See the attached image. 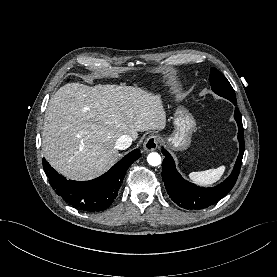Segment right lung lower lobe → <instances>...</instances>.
<instances>
[{
    "mask_svg": "<svg viewBox=\"0 0 277 277\" xmlns=\"http://www.w3.org/2000/svg\"><path fill=\"white\" fill-rule=\"evenodd\" d=\"M141 156L140 150L127 154L107 173L90 181H72L59 175L46 160L43 168L52 188L71 206L86 212L107 209L117 197L128 167Z\"/></svg>",
    "mask_w": 277,
    "mask_h": 277,
    "instance_id": "right-lung-lower-lobe-1",
    "label": "right lung lower lobe"
}]
</instances>
